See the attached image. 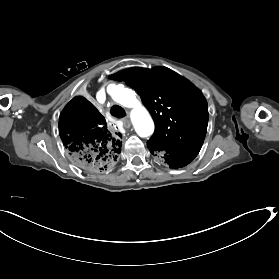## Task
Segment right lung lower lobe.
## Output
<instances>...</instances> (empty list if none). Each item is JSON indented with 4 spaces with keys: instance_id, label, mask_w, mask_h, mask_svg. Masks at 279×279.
I'll use <instances>...</instances> for the list:
<instances>
[{
    "instance_id": "obj_1",
    "label": "right lung lower lobe",
    "mask_w": 279,
    "mask_h": 279,
    "mask_svg": "<svg viewBox=\"0 0 279 279\" xmlns=\"http://www.w3.org/2000/svg\"><path fill=\"white\" fill-rule=\"evenodd\" d=\"M59 135L72 161L90 172L107 171L121 152L122 135L84 97L73 98L62 110Z\"/></svg>"
}]
</instances>
